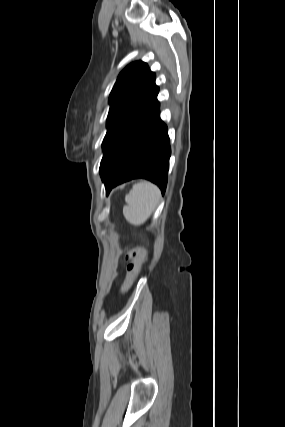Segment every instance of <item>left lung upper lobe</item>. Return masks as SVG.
Returning a JSON list of instances; mask_svg holds the SVG:
<instances>
[{
	"instance_id": "obj_1",
	"label": "left lung upper lobe",
	"mask_w": 285,
	"mask_h": 427,
	"mask_svg": "<svg viewBox=\"0 0 285 427\" xmlns=\"http://www.w3.org/2000/svg\"><path fill=\"white\" fill-rule=\"evenodd\" d=\"M158 91L155 74L142 61L131 63L119 74L109 97L107 133L102 144L104 155L153 103Z\"/></svg>"
}]
</instances>
